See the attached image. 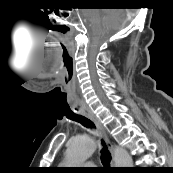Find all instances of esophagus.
Wrapping results in <instances>:
<instances>
[{
    "instance_id": "obj_1",
    "label": "esophagus",
    "mask_w": 173,
    "mask_h": 173,
    "mask_svg": "<svg viewBox=\"0 0 173 173\" xmlns=\"http://www.w3.org/2000/svg\"><path fill=\"white\" fill-rule=\"evenodd\" d=\"M82 114H84L86 117L91 119L95 123V125L97 126V128L100 132V135L104 138V140H105V142L109 148V151H110L111 156H112V163H113V158H114L113 145H112L102 123L97 119V117L90 111V109L88 107H84L82 109Z\"/></svg>"
}]
</instances>
